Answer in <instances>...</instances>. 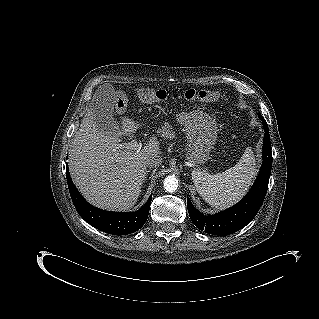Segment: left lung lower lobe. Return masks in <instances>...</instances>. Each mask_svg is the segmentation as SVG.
Masks as SVG:
<instances>
[{
  "mask_svg": "<svg viewBox=\"0 0 319 319\" xmlns=\"http://www.w3.org/2000/svg\"><path fill=\"white\" fill-rule=\"evenodd\" d=\"M264 127L263 164L258 177L248 194L236 205L212 216H204L187 197L189 216L193 224L202 231L213 235H229L245 227L258 213L265 198L272 166L269 129L260 116Z\"/></svg>",
  "mask_w": 319,
  "mask_h": 319,
  "instance_id": "0a47b994",
  "label": "left lung lower lobe"
}]
</instances>
